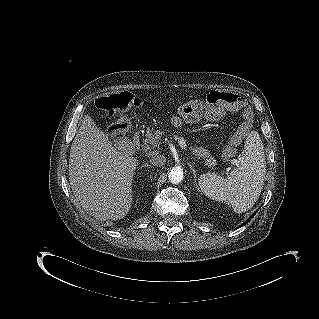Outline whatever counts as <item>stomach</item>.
<instances>
[{
	"label": "stomach",
	"instance_id": "stomach-1",
	"mask_svg": "<svg viewBox=\"0 0 319 319\" xmlns=\"http://www.w3.org/2000/svg\"><path fill=\"white\" fill-rule=\"evenodd\" d=\"M179 114L187 123H198L203 118V109L196 103L188 102L180 107Z\"/></svg>",
	"mask_w": 319,
	"mask_h": 319
}]
</instances>
